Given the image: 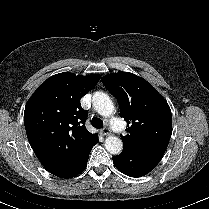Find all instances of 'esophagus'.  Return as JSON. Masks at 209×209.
I'll use <instances>...</instances> for the list:
<instances>
[{"mask_svg":"<svg viewBox=\"0 0 209 209\" xmlns=\"http://www.w3.org/2000/svg\"><path fill=\"white\" fill-rule=\"evenodd\" d=\"M101 134H102L103 136L109 135V129H108V128H103V129L101 130Z\"/></svg>","mask_w":209,"mask_h":209,"instance_id":"1","label":"esophagus"}]
</instances>
